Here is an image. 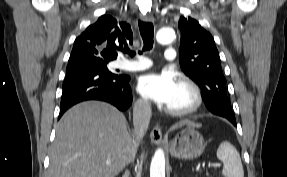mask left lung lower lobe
<instances>
[{
    "mask_svg": "<svg viewBox=\"0 0 287 177\" xmlns=\"http://www.w3.org/2000/svg\"><path fill=\"white\" fill-rule=\"evenodd\" d=\"M225 102H226L225 99H222L220 97H215L211 103V106L208 108V110H210L213 114L227 118L230 122L236 125V120H235L234 115H230L224 111L223 103Z\"/></svg>",
    "mask_w": 287,
    "mask_h": 177,
    "instance_id": "0a47b994",
    "label": "left lung lower lobe"
}]
</instances>
